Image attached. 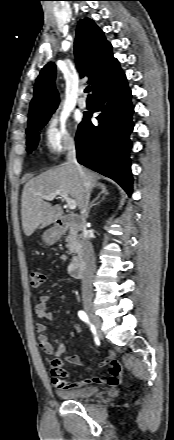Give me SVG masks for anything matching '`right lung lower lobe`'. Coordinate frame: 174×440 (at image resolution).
Listing matches in <instances>:
<instances>
[{"label": "right lung lower lobe", "mask_w": 174, "mask_h": 440, "mask_svg": "<svg viewBox=\"0 0 174 440\" xmlns=\"http://www.w3.org/2000/svg\"><path fill=\"white\" fill-rule=\"evenodd\" d=\"M98 126L85 114L75 138L78 162L116 181L130 196L132 174L129 139L133 130L131 90L119 63L94 90Z\"/></svg>", "instance_id": "1"}]
</instances>
